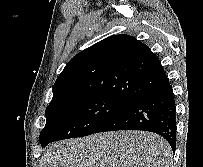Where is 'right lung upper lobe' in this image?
I'll return each mask as SVG.
<instances>
[{
	"mask_svg": "<svg viewBox=\"0 0 203 167\" xmlns=\"http://www.w3.org/2000/svg\"><path fill=\"white\" fill-rule=\"evenodd\" d=\"M167 80L159 58L148 46L129 35H114L68 62L54 84L47 108L96 95L131 103Z\"/></svg>",
	"mask_w": 203,
	"mask_h": 167,
	"instance_id": "right-lung-upper-lobe-1",
	"label": "right lung upper lobe"
}]
</instances>
